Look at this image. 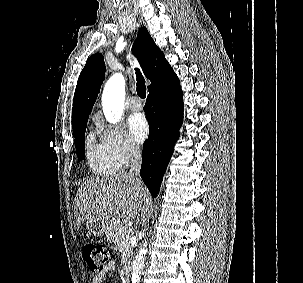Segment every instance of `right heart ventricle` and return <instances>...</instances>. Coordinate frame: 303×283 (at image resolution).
Instances as JSON below:
<instances>
[{
    "mask_svg": "<svg viewBox=\"0 0 303 283\" xmlns=\"http://www.w3.org/2000/svg\"><path fill=\"white\" fill-rule=\"evenodd\" d=\"M86 150L88 165L92 172L107 175L115 173L120 168L107 153L101 141H97L92 133L87 137Z\"/></svg>",
    "mask_w": 303,
    "mask_h": 283,
    "instance_id": "1",
    "label": "right heart ventricle"
}]
</instances>
